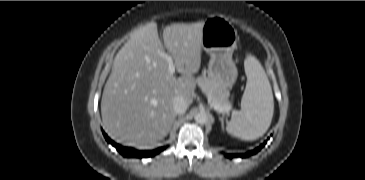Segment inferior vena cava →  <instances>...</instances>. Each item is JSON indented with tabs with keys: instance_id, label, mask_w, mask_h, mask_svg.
<instances>
[{
	"instance_id": "inferior-vena-cava-1",
	"label": "inferior vena cava",
	"mask_w": 365,
	"mask_h": 180,
	"mask_svg": "<svg viewBox=\"0 0 365 180\" xmlns=\"http://www.w3.org/2000/svg\"><path fill=\"white\" fill-rule=\"evenodd\" d=\"M173 110L176 114H184L187 110V103L181 96H176L172 101Z\"/></svg>"
}]
</instances>
